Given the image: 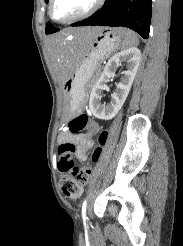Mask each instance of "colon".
<instances>
[{"instance_id":"obj_1","label":"colon","mask_w":183,"mask_h":246,"mask_svg":"<svg viewBox=\"0 0 183 246\" xmlns=\"http://www.w3.org/2000/svg\"><path fill=\"white\" fill-rule=\"evenodd\" d=\"M90 126V118L86 114H80L69 123V129L73 134H83ZM107 134L102 132L99 135L100 145L104 144ZM74 146L70 143L61 144L59 147L58 166L61 172V190L64 196L71 200L78 199L83 187L89 181L91 175L90 167H78L71 159L70 153ZM101 155V147L98 146L92 152V161L97 162Z\"/></svg>"}]
</instances>
